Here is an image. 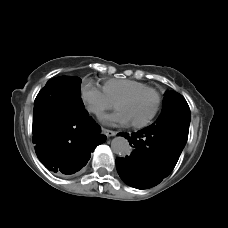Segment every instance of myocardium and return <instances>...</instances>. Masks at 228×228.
<instances>
[{
  "mask_svg": "<svg viewBox=\"0 0 228 228\" xmlns=\"http://www.w3.org/2000/svg\"><path fill=\"white\" fill-rule=\"evenodd\" d=\"M146 93H153L156 96V104H155V107H154L152 113L147 118H145L144 120L138 121V122H132V121H130V123L134 127H143V126H146L156 116V114H157V112H158V110L160 108V104H161V96H160L159 92L156 89H154V88L145 89V90L138 91L136 93H133V94L125 97L124 99H122L117 104V108L122 112L121 107L123 105H125L126 103H128V102L134 100L135 98H137V97H139V96H141L143 94H146Z\"/></svg>",
  "mask_w": 228,
  "mask_h": 228,
  "instance_id": "myocardium-1",
  "label": "myocardium"
}]
</instances>
